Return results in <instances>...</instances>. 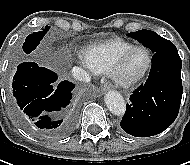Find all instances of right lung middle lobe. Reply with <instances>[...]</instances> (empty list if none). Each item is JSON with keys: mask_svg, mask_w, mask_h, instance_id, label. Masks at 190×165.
<instances>
[{"mask_svg": "<svg viewBox=\"0 0 190 165\" xmlns=\"http://www.w3.org/2000/svg\"><path fill=\"white\" fill-rule=\"evenodd\" d=\"M49 28V26H45V28L41 31L30 34L23 44V51L26 54H29L31 51H33L40 43V40L44 37Z\"/></svg>", "mask_w": 190, "mask_h": 165, "instance_id": "obj_1", "label": "right lung middle lobe"}]
</instances>
